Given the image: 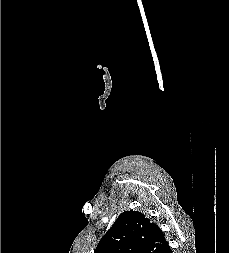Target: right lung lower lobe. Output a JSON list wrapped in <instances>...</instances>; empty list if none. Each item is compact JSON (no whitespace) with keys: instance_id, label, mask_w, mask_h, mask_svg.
<instances>
[{"instance_id":"98d812e1","label":"right lung lower lobe","mask_w":229,"mask_h":253,"mask_svg":"<svg viewBox=\"0 0 229 253\" xmlns=\"http://www.w3.org/2000/svg\"><path fill=\"white\" fill-rule=\"evenodd\" d=\"M165 253H172V250H171L170 246L167 248V250L165 251Z\"/></svg>"}]
</instances>
